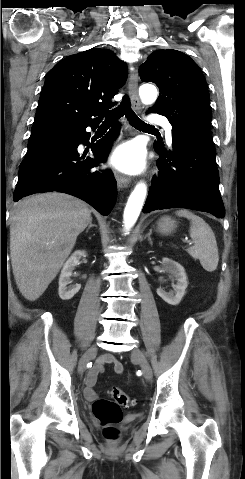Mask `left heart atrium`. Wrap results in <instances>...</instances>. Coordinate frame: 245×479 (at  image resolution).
<instances>
[{"label":"left heart atrium","mask_w":245,"mask_h":479,"mask_svg":"<svg viewBox=\"0 0 245 479\" xmlns=\"http://www.w3.org/2000/svg\"><path fill=\"white\" fill-rule=\"evenodd\" d=\"M111 164L126 173H139L145 166L143 149L135 143L124 144L113 153Z\"/></svg>","instance_id":"left-heart-atrium-1"}]
</instances>
